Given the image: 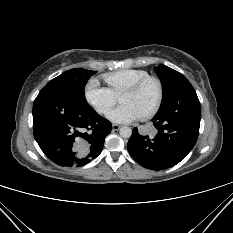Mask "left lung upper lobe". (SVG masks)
Masks as SVG:
<instances>
[{"label": "left lung upper lobe", "instance_id": "5c2ea615", "mask_svg": "<svg viewBox=\"0 0 233 233\" xmlns=\"http://www.w3.org/2000/svg\"><path fill=\"white\" fill-rule=\"evenodd\" d=\"M155 71L162 82L163 98L159 108L161 110L173 96L179 84L187 79L178 71L163 64L156 67Z\"/></svg>", "mask_w": 233, "mask_h": 233}]
</instances>
